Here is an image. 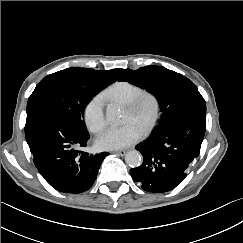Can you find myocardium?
<instances>
[{"mask_svg":"<svg viewBox=\"0 0 243 243\" xmlns=\"http://www.w3.org/2000/svg\"><path fill=\"white\" fill-rule=\"evenodd\" d=\"M148 101L152 102L153 104L154 115L150 124L143 130L144 134L151 133L159 121L160 114H161V104L158 96L154 92L144 89L131 102L126 104L127 110L131 112H139L144 106V104Z\"/></svg>","mask_w":243,"mask_h":243,"instance_id":"1","label":"myocardium"}]
</instances>
